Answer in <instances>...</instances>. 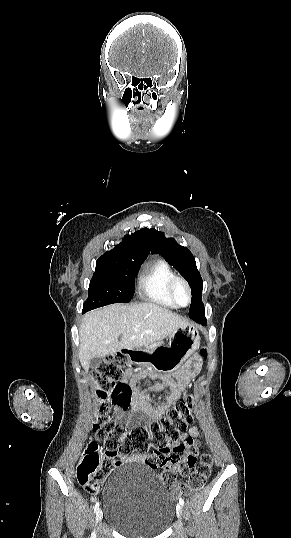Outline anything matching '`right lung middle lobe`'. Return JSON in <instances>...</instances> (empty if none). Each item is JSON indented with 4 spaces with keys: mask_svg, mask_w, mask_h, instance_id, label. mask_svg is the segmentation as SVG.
Instances as JSON below:
<instances>
[{
    "mask_svg": "<svg viewBox=\"0 0 291 538\" xmlns=\"http://www.w3.org/2000/svg\"><path fill=\"white\" fill-rule=\"evenodd\" d=\"M144 259L100 257L90 280L83 313L112 303H128L135 291L134 279Z\"/></svg>",
    "mask_w": 291,
    "mask_h": 538,
    "instance_id": "right-lung-middle-lobe-1",
    "label": "right lung middle lobe"
}]
</instances>
